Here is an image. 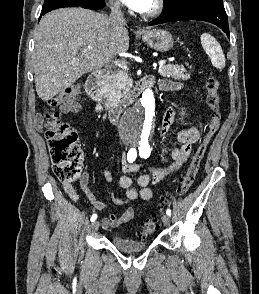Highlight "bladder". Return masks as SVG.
<instances>
[{"label":"bladder","instance_id":"obj_1","mask_svg":"<svg viewBox=\"0 0 259 294\" xmlns=\"http://www.w3.org/2000/svg\"><path fill=\"white\" fill-rule=\"evenodd\" d=\"M112 244L118 250L127 253L143 251L148 247L147 241L136 240L122 234H115L112 237Z\"/></svg>","mask_w":259,"mask_h":294}]
</instances>
